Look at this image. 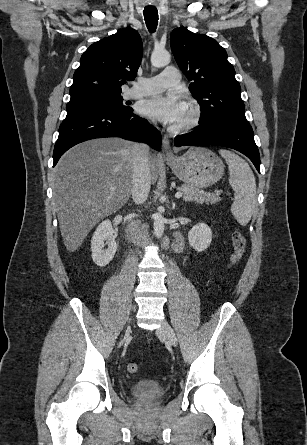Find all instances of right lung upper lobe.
<instances>
[{"label": "right lung upper lobe", "mask_w": 307, "mask_h": 445, "mask_svg": "<svg viewBox=\"0 0 307 445\" xmlns=\"http://www.w3.org/2000/svg\"><path fill=\"white\" fill-rule=\"evenodd\" d=\"M142 54L141 38L130 27L93 43L81 56L74 73L71 99L121 94V85L134 80Z\"/></svg>", "instance_id": "right-lung-upper-lobe-1"}]
</instances>
